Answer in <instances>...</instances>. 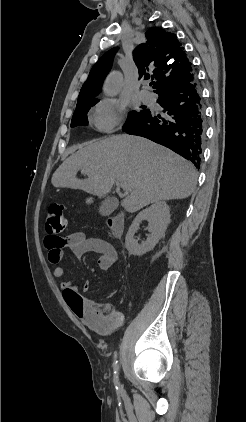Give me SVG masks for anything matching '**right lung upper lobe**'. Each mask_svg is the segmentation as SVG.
Here are the masks:
<instances>
[{"instance_id":"cb5924a9","label":"right lung upper lobe","mask_w":246,"mask_h":422,"mask_svg":"<svg viewBox=\"0 0 246 422\" xmlns=\"http://www.w3.org/2000/svg\"><path fill=\"white\" fill-rule=\"evenodd\" d=\"M145 36L147 42L135 48L133 59L139 71V79H156V94L195 80L192 65L174 33L154 27ZM114 55L115 50L111 49L94 64L81 88L76 107L98 100L95 96L111 68Z\"/></svg>"}]
</instances>
